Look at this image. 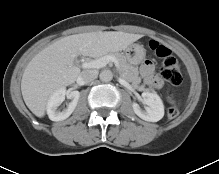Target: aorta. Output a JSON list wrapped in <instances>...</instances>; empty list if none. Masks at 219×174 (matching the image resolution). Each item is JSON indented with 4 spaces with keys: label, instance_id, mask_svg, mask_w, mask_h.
I'll use <instances>...</instances> for the list:
<instances>
[{
    "label": "aorta",
    "instance_id": "762f6f07",
    "mask_svg": "<svg viewBox=\"0 0 219 174\" xmlns=\"http://www.w3.org/2000/svg\"><path fill=\"white\" fill-rule=\"evenodd\" d=\"M99 78L102 82H110L113 79V73L110 70H103Z\"/></svg>",
    "mask_w": 219,
    "mask_h": 174
}]
</instances>
